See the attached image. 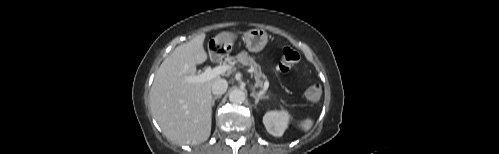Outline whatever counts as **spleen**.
I'll return each instance as SVG.
<instances>
[{
  "label": "spleen",
  "instance_id": "3e777b00",
  "mask_svg": "<svg viewBox=\"0 0 499 154\" xmlns=\"http://www.w3.org/2000/svg\"><path fill=\"white\" fill-rule=\"evenodd\" d=\"M313 126V120L310 119V118H307L305 120H303L300 124H299V127L303 130V131H308L311 129V127Z\"/></svg>",
  "mask_w": 499,
  "mask_h": 154
}]
</instances>
